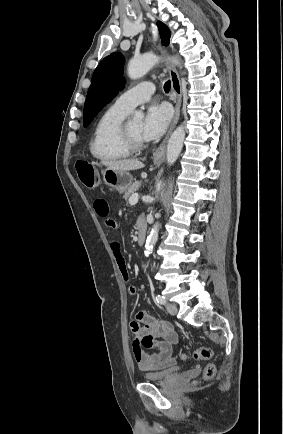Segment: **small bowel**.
Segmentation results:
<instances>
[{"label":"small bowel","mask_w":283,"mask_h":434,"mask_svg":"<svg viewBox=\"0 0 283 434\" xmlns=\"http://www.w3.org/2000/svg\"><path fill=\"white\" fill-rule=\"evenodd\" d=\"M97 215L107 218L110 213V205L104 198H97L93 203ZM110 227L116 224L112 220L107 221ZM117 264L120 271L127 278L124 258L119 252V245L112 243ZM137 289L131 286L129 292L135 294ZM130 332L133 337V355L138 367L142 370H164L176 364L172 356L173 346L178 344L179 337L169 322L161 321L146 312H139L136 319L130 323ZM145 348H157L155 354H147Z\"/></svg>","instance_id":"1"}]
</instances>
